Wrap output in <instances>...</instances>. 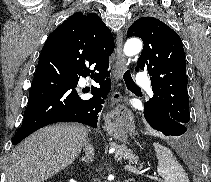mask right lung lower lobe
Wrapping results in <instances>:
<instances>
[{"label":"right lung lower lobe","instance_id":"right-lung-lower-lobe-1","mask_svg":"<svg viewBox=\"0 0 211 182\" xmlns=\"http://www.w3.org/2000/svg\"><path fill=\"white\" fill-rule=\"evenodd\" d=\"M70 34L67 25L55 29L41 51L35 77L32 81L28 105L21 127L15 133L17 145L34 131L63 121H74L97 127L98 114L111 88L108 76L109 62H101L93 51H85ZM93 66L94 95L89 100L79 97L75 87L80 77L90 75Z\"/></svg>","mask_w":211,"mask_h":182}]
</instances>
